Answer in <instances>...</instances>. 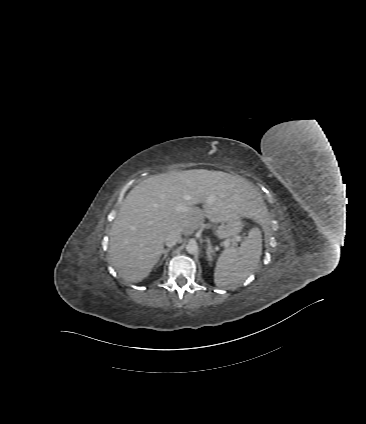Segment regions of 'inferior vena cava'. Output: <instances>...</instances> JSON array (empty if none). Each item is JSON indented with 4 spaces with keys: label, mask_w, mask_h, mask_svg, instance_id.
<instances>
[{
    "label": "inferior vena cava",
    "mask_w": 366,
    "mask_h": 424,
    "mask_svg": "<svg viewBox=\"0 0 366 424\" xmlns=\"http://www.w3.org/2000/svg\"><path fill=\"white\" fill-rule=\"evenodd\" d=\"M180 238L181 233L177 230H173L165 237V245L168 247H172L176 245Z\"/></svg>",
    "instance_id": "inferior-vena-cava-1"
}]
</instances>
